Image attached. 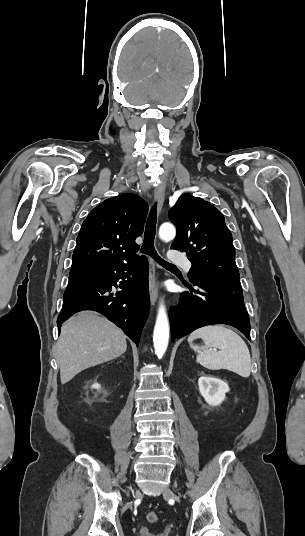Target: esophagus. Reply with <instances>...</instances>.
<instances>
[{
  "label": "esophagus",
  "instance_id": "34e87169",
  "mask_svg": "<svg viewBox=\"0 0 305 536\" xmlns=\"http://www.w3.org/2000/svg\"><path fill=\"white\" fill-rule=\"evenodd\" d=\"M154 198L158 202V211L160 212L164 203V199H165V183L164 182L156 186L154 190ZM149 262H150L149 295H150L151 304L154 305L157 301L158 288L156 284L154 261L152 258H150Z\"/></svg>",
  "mask_w": 305,
  "mask_h": 536
}]
</instances>
